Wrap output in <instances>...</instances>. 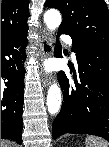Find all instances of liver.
<instances>
[{
    "label": "liver",
    "mask_w": 109,
    "mask_h": 147,
    "mask_svg": "<svg viewBox=\"0 0 109 147\" xmlns=\"http://www.w3.org/2000/svg\"><path fill=\"white\" fill-rule=\"evenodd\" d=\"M13 143L10 141H2L1 146L2 147H12Z\"/></svg>",
    "instance_id": "liver-1"
}]
</instances>
